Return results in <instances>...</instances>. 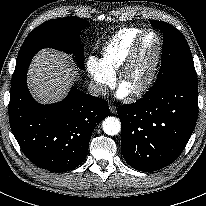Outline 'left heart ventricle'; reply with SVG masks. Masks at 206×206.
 Masks as SVG:
<instances>
[{
  "mask_svg": "<svg viewBox=\"0 0 206 206\" xmlns=\"http://www.w3.org/2000/svg\"><path fill=\"white\" fill-rule=\"evenodd\" d=\"M157 51V40L154 35H147L140 47L138 56L126 74L122 86L131 91L147 77Z\"/></svg>",
  "mask_w": 206,
  "mask_h": 206,
  "instance_id": "left-heart-ventricle-1",
  "label": "left heart ventricle"
}]
</instances>
